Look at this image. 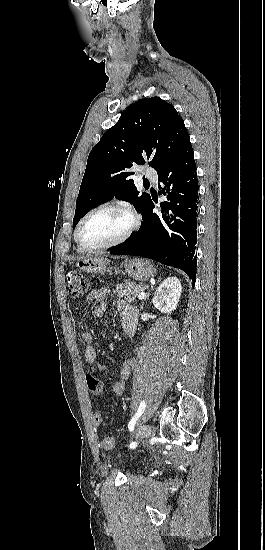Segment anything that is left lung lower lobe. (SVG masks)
I'll list each match as a JSON object with an SVG mask.
<instances>
[{
    "label": "left lung lower lobe",
    "instance_id": "obj_1",
    "mask_svg": "<svg viewBox=\"0 0 265 550\" xmlns=\"http://www.w3.org/2000/svg\"><path fill=\"white\" fill-rule=\"evenodd\" d=\"M169 202L161 205L162 217L148 206L140 230L123 245L109 249L112 255H138L183 270L196 281L198 183L190 141L158 173Z\"/></svg>",
    "mask_w": 265,
    "mask_h": 550
}]
</instances>
